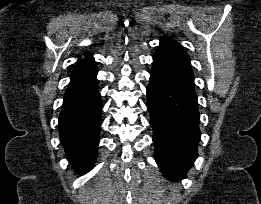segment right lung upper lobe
Segmentation results:
<instances>
[{
  "label": "right lung upper lobe",
  "mask_w": 261,
  "mask_h": 204,
  "mask_svg": "<svg viewBox=\"0 0 261 204\" xmlns=\"http://www.w3.org/2000/svg\"><path fill=\"white\" fill-rule=\"evenodd\" d=\"M84 55H85V60L91 58V53H89V52L84 53ZM85 60H79V62H81V61H85Z\"/></svg>",
  "instance_id": "obj_1"
}]
</instances>
